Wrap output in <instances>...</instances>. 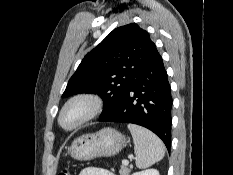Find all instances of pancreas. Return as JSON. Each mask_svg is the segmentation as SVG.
<instances>
[{
	"label": "pancreas",
	"mask_w": 233,
	"mask_h": 175,
	"mask_svg": "<svg viewBox=\"0 0 233 175\" xmlns=\"http://www.w3.org/2000/svg\"><path fill=\"white\" fill-rule=\"evenodd\" d=\"M130 169L125 167V166H121V169H120V175H129L130 173Z\"/></svg>",
	"instance_id": "obj_1"
}]
</instances>
